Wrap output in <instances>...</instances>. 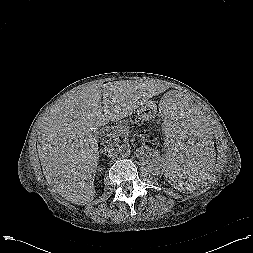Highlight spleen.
Returning a JSON list of instances; mask_svg holds the SVG:
<instances>
[{
    "instance_id": "obj_1",
    "label": "spleen",
    "mask_w": 253,
    "mask_h": 253,
    "mask_svg": "<svg viewBox=\"0 0 253 253\" xmlns=\"http://www.w3.org/2000/svg\"><path fill=\"white\" fill-rule=\"evenodd\" d=\"M161 141V167L170 183L182 191L198 188L211 170V143L203 118L186 108L170 111L161 124Z\"/></svg>"
}]
</instances>
